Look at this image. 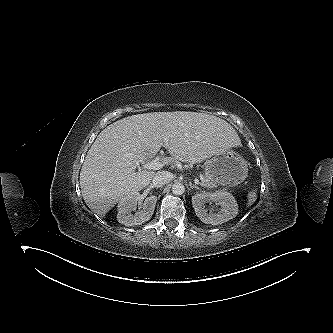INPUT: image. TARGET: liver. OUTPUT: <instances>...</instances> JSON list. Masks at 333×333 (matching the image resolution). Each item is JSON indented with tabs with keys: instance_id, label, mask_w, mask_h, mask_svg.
I'll return each instance as SVG.
<instances>
[{
	"instance_id": "obj_1",
	"label": "liver",
	"mask_w": 333,
	"mask_h": 333,
	"mask_svg": "<svg viewBox=\"0 0 333 333\" xmlns=\"http://www.w3.org/2000/svg\"><path fill=\"white\" fill-rule=\"evenodd\" d=\"M239 145L233 127L208 114L175 111L128 116L102 130L88 150L80 172L81 193L87 206L103 217L124 196L150 184L156 173L139 165L154 158L162 146L171 155L164 158L166 165L173 160L200 163Z\"/></svg>"
}]
</instances>
